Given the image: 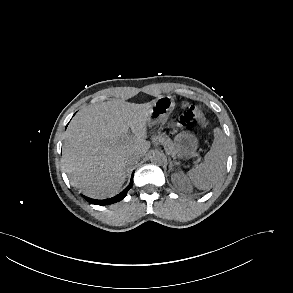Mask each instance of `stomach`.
<instances>
[{"label":"stomach","instance_id":"stomach-1","mask_svg":"<svg viewBox=\"0 0 293 293\" xmlns=\"http://www.w3.org/2000/svg\"><path fill=\"white\" fill-rule=\"evenodd\" d=\"M175 107V101L170 96L159 97L152 108L147 123L152 126L157 123L167 124L169 117ZM175 151L184 158H192L198 148V138L188 131H183L175 137Z\"/></svg>","mask_w":293,"mask_h":293}]
</instances>
